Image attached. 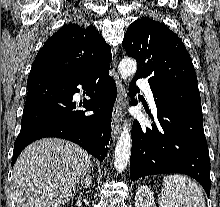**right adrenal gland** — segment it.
Returning <instances> with one entry per match:
<instances>
[{"instance_id":"1","label":"right adrenal gland","mask_w":220,"mask_h":207,"mask_svg":"<svg viewBox=\"0 0 220 207\" xmlns=\"http://www.w3.org/2000/svg\"><path fill=\"white\" fill-rule=\"evenodd\" d=\"M91 171L92 170H89V172L87 173L86 177L81 182L82 185L84 184L83 188H85V189L90 187V185L92 184L93 177L91 176Z\"/></svg>"}]
</instances>
